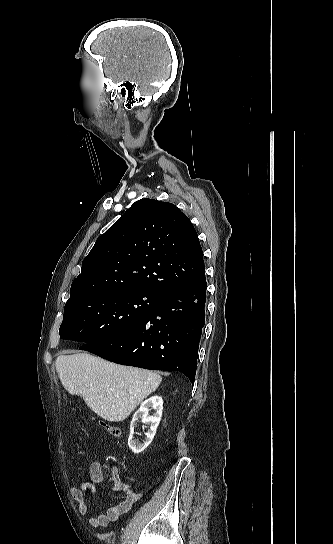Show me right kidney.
<instances>
[{
    "label": "right kidney",
    "instance_id": "obj_1",
    "mask_svg": "<svg viewBox=\"0 0 333 544\" xmlns=\"http://www.w3.org/2000/svg\"><path fill=\"white\" fill-rule=\"evenodd\" d=\"M150 408L155 410L152 416H149ZM162 410H163V399L162 397L155 395L145 400L141 404L140 408L134 413L133 419L130 424V435L128 438V446L135 454H139L143 452L147 448V446L152 442L156 434V429L162 417ZM138 419H141L144 424H148L150 426V429L145 434L146 438L144 443H138L133 437L134 427Z\"/></svg>",
    "mask_w": 333,
    "mask_h": 544
}]
</instances>
